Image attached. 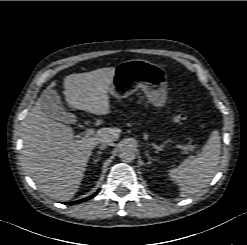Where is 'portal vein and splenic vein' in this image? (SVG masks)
I'll return each instance as SVG.
<instances>
[{
    "label": "portal vein and splenic vein",
    "mask_w": 247,
    "mask_h": 245,
    "mask_svg": "<svg viewBox=\"0 0 247 245\" xmlns=\"http://www.w3.org/2000/svg\"><path fill=\"white\" fill-rule=\"evenodd\" d=\"M86 136H92L94 134V130L92 128H88L85 131ZM193 148V147H192ZM180 154H184L183 152H179Z\"/></svg>",
    "instance_id": "obj_1"
}]
</instances>
